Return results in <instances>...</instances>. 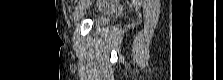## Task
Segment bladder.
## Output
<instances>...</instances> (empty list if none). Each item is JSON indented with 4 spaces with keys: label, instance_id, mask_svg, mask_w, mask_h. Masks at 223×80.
Here are the masks:
<instances>
[{
    "label": "bladder",
    "instance_id": "bladder-1",
    "mask_svg": "<svg viewBox=\"0 0 223 80\" xmlns=\"http://www.w3.org/2000/svg\"><path fill=\"white\" fill-rule=\"evenodd\" d=\"M96 25H103L105 23V18L104 17H98L95 19Z\"/></svg>",
    "mask_w": 223,
    "mask_h": 80
}]
</instances>
